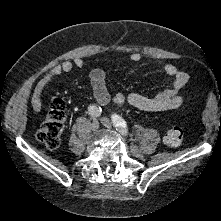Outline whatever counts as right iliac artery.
<instances>
[{
    "instance_id": "right-iliac-artery-1",
    "label": "right iliac artery",
    "mask_w": 221,
    "mask_h": 221,
    "mask_svg": "<svg viewBox=\"0 0 221 221\" xmlns=\"http://www.w3.org/2000/svg\"><path fill=\"white\" fill-rule=\"evenodd\" d=\"M88 111L92 117H99L101 115L102 109L93 104L88 107Z\"/></svg>"
}]
</instances>
